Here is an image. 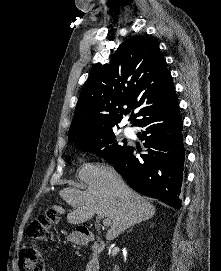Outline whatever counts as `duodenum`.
<instances>
[{
	"label": "duodenum",
	"mask_w": 221,
	"mask_h": 271,
	"mask_svg": "<svg viewBox=\"0 0 221 271\" xmlns=\"http://www.w3.org/2000/svg\"><path fill=\"white\" fill-rule=\"evenodd\" d=\"M72 242L79 246L91 243V256L86 265V271H99L101 268L100 255L105 248V243L95 238L93 233L88 230L79 231L72 237Z\"/></svg>",
	"instance_id": "duodenum-1"
}]
</instances>
